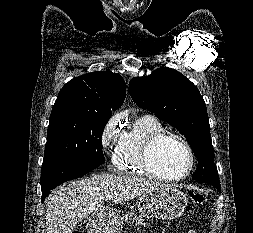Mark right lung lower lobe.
Listing matches in <instances>:
<instances>
[{"label":"right lung lower lobe","instance_id":"obj_1","mask_svg":"<svg viewBox=\"0 0 253 233\" xmlns=\"http://www.w3.org/2000/svg\"><path fill=\"white\" fill-rule=\"evenodd\" d=\"M98 166L96 164L60 163L41 170L42 202L58 185L81 177Z\"/></svg>","mask_w":253,"mask_h":233}]
</instances>
